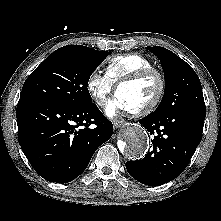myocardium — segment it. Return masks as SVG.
Segmentation results:
<instances>
[{
	"label": "myocardium",
	"mask_w": 221,
	"mask_h": 221,
	"mask_svg": "<svg viewBox=\"0 0 221 221\" xmlns=\"http://www.w3.org/2000/svg\"><path fill=\"white\" fill-rule=\"evenodd\" d=\"M150 76H155L157 78V80L159 82L158 92H157L155 98L146 106H144L140 109L128 111L130 114H132L134 116L147 115V114L151 113L152 111H154L157 108V106L161 103V101L164 97L165 91H166V81H165L164 75L159 70H157L155 68H146V69L139 70V71L121 79L116 85L115 92L117 93L118 90L122 86L137 83V82L142 81Z\"/></svg>",
	"instance_id": "f54148a6"
}]
</instances>
